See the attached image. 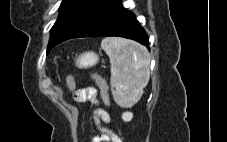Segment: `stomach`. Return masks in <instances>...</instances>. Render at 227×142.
<instances>
[{
  "mask_svg": "<svg viewBox=\"0 0 227 142\" xmlns=\"http://www.w3.org/2000/svg\"><path fill=\"white\" fill-rule=\"evenodd\" d=\"M98 60L99 58L94 52H85L77 58L76 65L79 68H87L95 65Z\"/></svg>",
  "mask_w": 227,
  "mask_h": 142,
  "instance_id": "obj_1",
  "label": "stomach"
}]
</instances>
